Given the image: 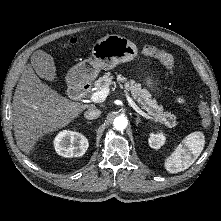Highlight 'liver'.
<instances>
[{
	"label": "liver",
	"mask_w": 221,
	"mask_h": 221,
	"mask_svg": "<svg viewBox=\"0 0 221 221\" xmlns=\"http://www.w3.org/2000/svg\"><path fill=\"white\" fill-rule=\"evenodd\" d=\"M51 63L54 64L52 56L36 51L31 57V64L24 68L14 93V134L18 147L26 154L44 135L66 127L83 110L93 107L71 102L41 82L38 76L48 80L46 75Z\"/></svg>",
	"instance_id": "1"
}]
</instances>
